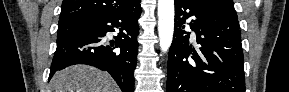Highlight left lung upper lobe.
I'll list each match as a JSON object with an SVG mask.
<instances>
[{
    "mask_svg": "<svg viewBox=\"0 0 289 92\" xmlns=\"http://www.w3.org/2000/svg\"><path fill=\"white\" fill-rule=\"evenodd\" d=\"M199 1L219 10L222 13H225L235 19H238L232 0H199Z\"/></svg>",
    "mask_w": 289,
    "mask_h": 92,
    "instance_id": "5c2ea615",
    "label": "left lung upper lobe"
}]
</instances>
